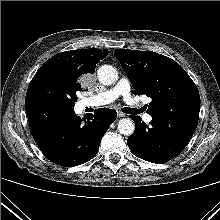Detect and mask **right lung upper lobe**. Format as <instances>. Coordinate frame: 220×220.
I'll return each mask as SVG.
<instances>
[{
	"instance_id": "obj_1",
	"label": "right lung upper lobe",
	"mask_w": 220,
	"mask_h": 220,
	"mask_svg": "<svg viewBox=\"0 0 220 220\" xmlns=\"http://www.w3.org/2000/svg\"><path fill=\"white\" fill-rule=\"evenodd\" d=\"M108 49H78L61 52L48 59L38 71L56 70L73 76L93 73L96 64L108 55Z\"/></svg>"
}]
</instances>
